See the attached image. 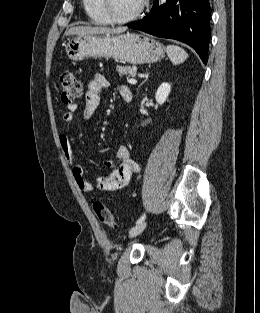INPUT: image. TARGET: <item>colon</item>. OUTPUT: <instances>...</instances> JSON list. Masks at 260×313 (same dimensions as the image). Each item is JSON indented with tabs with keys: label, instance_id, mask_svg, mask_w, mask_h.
<instances>
[{
	"label": "colon",
	"instance_id": "obj_1",
	"mask_svg": "<svg viewBox=\"0 0 260 313\" xmlns=\"http://www.w3.org/2000/svg\"><path fill=\"white\" fill-rule=\"evenodd\" d=\"M61 99L67 105H72L82 96L83 86L72 71H64L60 76ZM93 210L97 218L105 225L116 228L117 221L110 209L101 201L93 202Z\"/></svg>",
	"mask_w": 260,
	"mask_h": 313
}]
</instances>
